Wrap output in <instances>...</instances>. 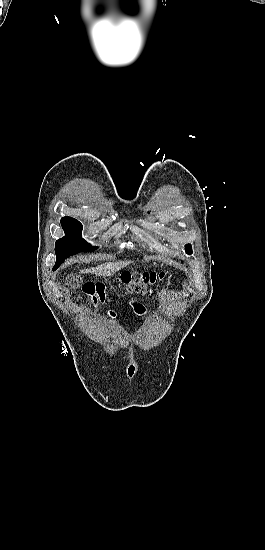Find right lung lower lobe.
I'll return each instance as SVG.
<instances>
[{
  "label": "right lung lower lobe",
  "instance_id": "right-lung-lower-lobe-1",
  "mask_svg": "<svg viewBox=\"0 0 265 550\" xmlns=\"http://www.w3.org/2000/svg\"><path fill=\"white\" fill-rule=\"evenodd\" d=\"M58 267H54L53 270H56Z\"/></svg>",
  "mask_w": 265,
  "mask_h": 550
}]
</instances>
